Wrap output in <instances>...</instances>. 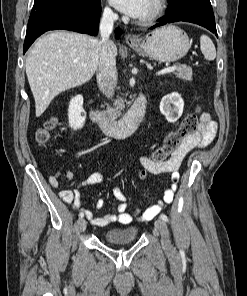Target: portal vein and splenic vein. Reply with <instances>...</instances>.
I'll use <instances>...</instances> for the list:
<instances>
[{
    "label": "portal vein and splenic vein",
    "mask_w": 247,
    "mask_h": 296,
    "mask_svg": "<svg viewBox=\"0 0 247 296\" xmlns=\"http://www.w3.org/2000/svg\"><path fill=\"white\" fill-rule=\"evenodd\" d=\"M176 70V66L173 65V66H169V67H166L160 71L157 72V75H162V74H165V73H169V72H173Z\"/></svg>",
    "instance_id": "portal-vein-and-splenic-vein-1"
}]
</instances>
